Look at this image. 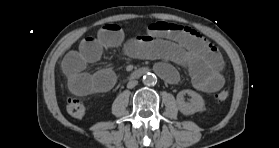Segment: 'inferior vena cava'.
I'll use <instances>...</instances> for the list:
<instances>
[{
	"label": "inferior vena cava",
	"mask_w": 279,
	"mask_h": 148,
	"mask_svg": "<svg viewBox=\"0 0 279 148\" xmlns=\"http://www.w3.org/2000/svg\"><path fill=\"white\" fill-rule=\"evenodd\" d=\"M137 84H138V81H136V80H131V81L128 82L127 88H130V89H131V88L135 87Z\"/></svg>",
	"instance_id": "obj_1"
}]
</instances>
